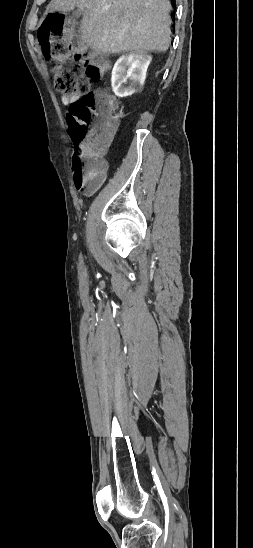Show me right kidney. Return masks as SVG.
Instances as JSON below:
<instances>
[{
    "instance_id": "ca27d5eb",
    "label": "right kidney",
    "mask_w": 253,
    "mask_h": 548,
    "mask_svg": "<svg viewBox=\"0 0 253 548\" xmlns=\"http://www.w3.org/2000/svg\"><path fill=\"white\" fill-rule=\"evenodd\" d=\"M151 60L145 51L122 55L112 70L111 86L115 95L124 98L141 90Z\"/></svg>"
}]
</instances>
